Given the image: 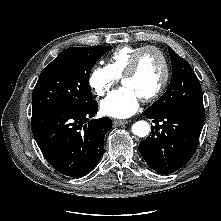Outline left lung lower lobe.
Listing matches in <instances>:
<instances>
[{
	"label": "left lung lower lobe",
	"instance_id": "obj_1",
	"mask_svg": "<svg viewBox=\"0 0 221 221\" xmlns=\"http://www.w3.org/2000/svg\"><path fill=\"white\" fill-rule=\"evenodd\" d=\"M155 124L139 144V151L151 169L170 174L183 167L194 155L204 123L203 109H179L142 113Z\"/></svg>",
	"mask_w": 221,
	"mask_h": 221
}]
</instances>
